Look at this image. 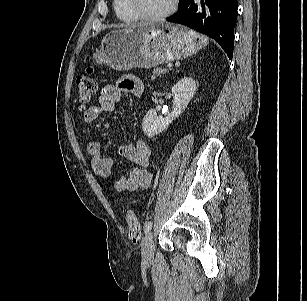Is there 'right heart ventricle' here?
Instances as JSON below:
<instances>
[{
    "label": "right heart ventricle",
    "mask_w": 307,
    "mask_h": 301,
    "mask_svg": "<svg viewBox=\"0 0 307 301\" xmlns=\"http://www.w3.org/2000/svg\"><path fill=\"white\" fill-rule=\"evenodd\" d=\"M113 7L117 17L125 23H133L138 20L129 7L128 0H113Z\"/></svg>",
    "instance_id": "obj_1"
}]
</instances>
